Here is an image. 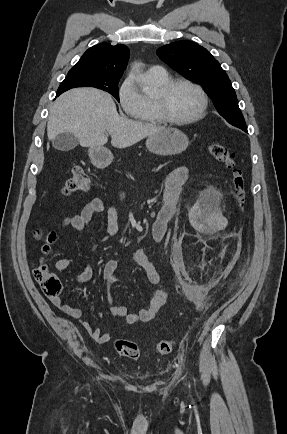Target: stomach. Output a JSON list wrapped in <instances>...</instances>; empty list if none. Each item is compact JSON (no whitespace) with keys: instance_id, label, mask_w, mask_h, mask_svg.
Masks as SVG:
<instances>
[{"instance_id":"stomach-1","label":"stomach","mask_w":287,"mask_h":434,"mask_svg":"<svg viewBox=\"0 0 287 434\" xmlns=\"http://www.w3.org/2000/svg\"><path fill=\"white\" fill-rule=\"evenodd\" d=\"M188 145V137L176 128H164L148 136L146 140L147 149L153 154L162 156L180 154L187 149ZM89 156L92 163L99 167H105L113 160V154L105 147L90 148Z\"/></svg>"}]
</instances>
